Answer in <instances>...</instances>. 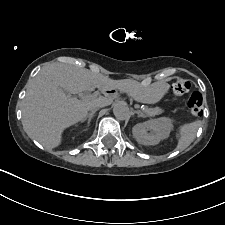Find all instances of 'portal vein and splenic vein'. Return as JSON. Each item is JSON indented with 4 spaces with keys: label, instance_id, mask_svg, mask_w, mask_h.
I'll list each match as a JSON object with an SVG mask.
<instances>
[{
    "label": "portal vein and splenic vein",
    "instance_id": "18ae733b",
    "mask_svg": "<svg viewBox=\"0 0 225 225\" xmlns=\"http://www.w3.org/2000/svg\"><path fill=\"white\" fill-rule=\"evenodd\" d=\"M97 94H93V95H88L87 97H95Z\"/></svg>",
    "mask_w": 225,
    "mask_h": 225
}]
</instances>
